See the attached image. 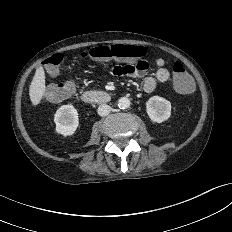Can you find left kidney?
<instances>
[{
	"instance_id": "left-kidney-1",
	"label": "left kidney",
	"mask_w": 232,
	"mask_h": 232,
	"mask_svg": "<svg viewBox=\"0 0 232 232\" xmlns=\"http://www.w3.org/2000/svg\"><path fill=\"white\" fill-rule=\"evenodd\" d=\"M146 111L153 122L162 123L171 116V103L160 96H153L146 102Z\"/></svg>"
}]
</instances>
